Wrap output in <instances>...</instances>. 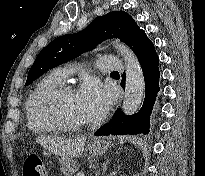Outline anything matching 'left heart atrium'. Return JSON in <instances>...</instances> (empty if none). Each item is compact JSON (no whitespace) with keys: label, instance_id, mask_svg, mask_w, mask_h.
Returning <instances> with one entry per match:
<instances>
[{"label":"left heart atrium","instance_id":"obj_1","mask_svg":"<svg viewBox=\"0 0 205 176\" xmlns=\"http://www.w3.org/2000/svg\"><path fill=\"white\" fill-rule=\"evenodd\" d=\"M77 100L89 120H97L104 115L109 105V94L94 79L85 81L79 88Z\"/></svg>","mask_w":205,"mask_h":176}]
</instances>
